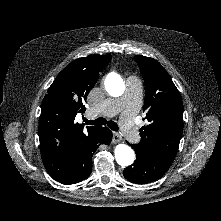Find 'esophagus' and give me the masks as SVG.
<instances>
[{
	"mask_svg": "<svg viewBox=\"0 0 221 221\" xmlns=\"http://www.w3.org/2000/svg\"><path fill=\"white\" fill-rule=\"evenodd\" d=\"M121 141H122L121 135L117 132H114L113 137H112V143L117 144V143H120Z\"/></svg>",
	"mask_w": 221,
	"mask_h": 221,
	"instance_id": "esophagus-1",
	"label": "esophagus"
}]
</instances>
